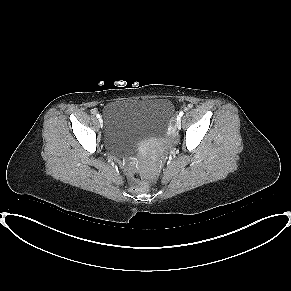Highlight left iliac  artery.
I'll list each match as a JSON object with an SVG mask.
<instances>
[{"label": "left iliac artery", "mask_w": 291, "mask_h": 291, "mask_svg": "<svg viewBox=\"0 0 291 291\" xmlns=\"http://www.w3.org/2000/svg\"><path fill=\"white\" fill-rule=\"evenodd\" d=\"M183 115H184V112L183 111H180L179 112V116L182 117Z\"/></svg>", "instance_id": "1"}]
</instances>
